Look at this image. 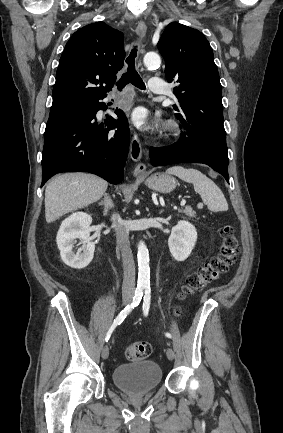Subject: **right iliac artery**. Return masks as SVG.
<instances>
[{"instance_id":"obj_1","label":"right iliac artery","mask_w":283,"mask_h":433,"mask_svg":"<svg viewBox=\"0 0 283 433\" xmlns=\"http://www.w3.org/2000/svg\"><path fill=\"white\" fill-rule=\"evenodd\" d=\"M143 296V287H138L135 291V295L133 297V301L132 303L128 304L120 313L119 315L116 317V319H114L113 324L111 325V327L109 328L106 337H105V341L108 342V340L111 337L112 332L114 331V329L116 328L117 325H120L124 319L126 318V316L132 311V309H134L136 306L139 305L141 299Z\"/></svg>"}]
</instances>
